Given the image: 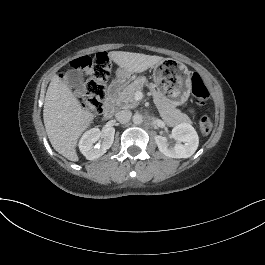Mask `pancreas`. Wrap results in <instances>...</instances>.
<instances>
[{
	"mask_svg": "<svg viewBox=\"0 0 265 265\" xmlns=\"http://www.w3.org/2000/svg\"><path fill=\"white\" fill-rule=\"evenodd\" d=\"M145 87L148 88L152 95L153 102L166 125L172 127L180 123H192L191 119L186 114L177 110L176 104L162 95L160 91L156 90L155 86L150 84L145 76L137 77L129 86L119 93L118 104L120 105V108H136L138 104L134 100V94L137 91H143Z\"/></svg>",
	"mask_w": 265,
	"mask_h": 265,
	"instance_id": "cf45deb5",
	"label": "pancreas"
}]
</instances>
